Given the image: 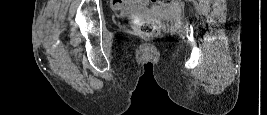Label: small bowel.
I'll return each mask as SVG.
<instances>
[{"label":"small bowel","mask_w":267,"mask_h":115,"mask_svg":"<svg viewBox=\"0 0 267 115\" xmlns=\"http://www.w3.org/2000/svg\"><path fill=\"white\" fill-rule=\"evenodd\" d=\"M114 8L117 11L123 12L125 14L132 16H141L147 12V2L118 0L114 1ZM155 8L156 10H161L164 9V6L157 5ZM173 9H175V6H173Z\"/></svg>","instance_id":"obj_1"}]
</instances>
